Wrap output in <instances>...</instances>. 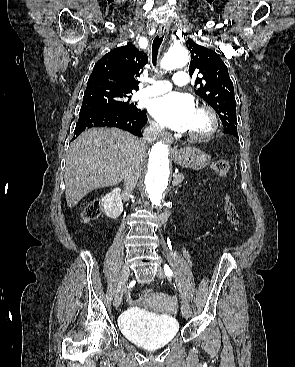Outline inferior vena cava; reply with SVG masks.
Wrapping results in <instances>:
<instances>
[{"label":"inferior vena cava","instance_id":"1","mask_svg":"<svg viewBox=\"0 0 295 367\" xmlns=\"http://www.w3.org/2000/svg\"><path fill=\"white\" fill-rule=\"evenodd\" d=\"M162 128L157 124H152L144 130L141 145L145 148L147 142H154ZM139 177V165L133 163L125 170L124 185L126 192L130 193L135 188Z\"/></svg>","mask_w":295,"mask_h":367}]
</instances>
